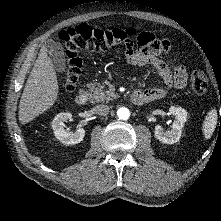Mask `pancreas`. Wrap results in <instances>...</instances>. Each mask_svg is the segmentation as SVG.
<instances>
[{"instance_id": "obj_1", "label": "pancreas", "mask_w": 221, "mask_h": 221, "mask_svg": "<svg viewBox=\"0 0 221 221\" xmlns=\"http://www.w3.org/2000/svg\"><path fill=\"white\" fill-rule=\"evenodd\" d=\"M89 99L91 103L109 102L117 97L112 91L105 90V86L100 83H88Z\"/></svg>"}]
</instances>
